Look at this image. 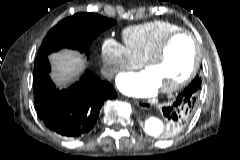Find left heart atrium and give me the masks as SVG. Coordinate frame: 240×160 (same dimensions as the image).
<instances>
[{
    "label": "left heart atrium",
    "mask_w": 240,
    "mask_h": 160,
    "mask_svg": "<svg viewBox=\"0 0 240 160\" xmlns=\"http://www.w3.org/2000/svg\"><path fill=\"white\" fill-rule=\"evenodd\" d=\"M117 86L123 93L135 97L151 96L158 90L156 82L146 71L122 74L117 79Z\"/></svg>",
    "instance_id": "obj_1"
}]
</instances>
